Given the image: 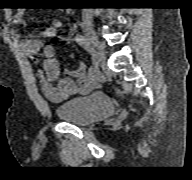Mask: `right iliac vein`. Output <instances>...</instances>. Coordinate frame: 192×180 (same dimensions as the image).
<instances>
[{"mask_svg":"<svg viewBox=\"0 0 192 180\" xmlns=\"http://www.w3.org/2000/svg\"><path fill=\"white\" fill-rule=\"evenodd\" d=\"M82 29L87 36L89 42L92 45L93 54L96 57L97 61L100 62L102 51H101V45L100 42L96 36L95 30L90 22L85 21L82 24Z\"/></svg>","mask_w":192,"mask_h":180,"instance_id":"right-iliac-vein-1","label":"right iliac vein"}]
</instances>
